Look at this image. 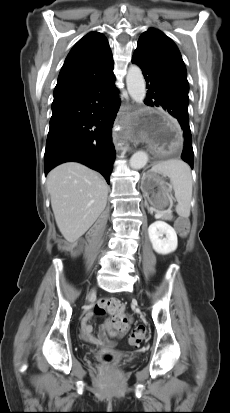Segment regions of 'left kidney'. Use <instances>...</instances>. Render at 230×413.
<instances>
[{"label":"left kidney","mask_w":230,"mask_h":413,"mask_svg":"<svg viewBox=\"0 0 230 413\" xmlns=\"http://www.w3.org/2000/svg\"><path fill=\"white\" fill-rule=\"evenodd\" d=\"M149 239L155 252L166 255L176 250L178 245L175 230L164 221H156L148 228ZM163 235L165 237L163 238Z\"/></svg>","instance_id":"5707ae66"}]
</instances>
